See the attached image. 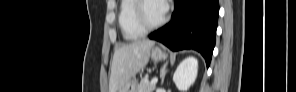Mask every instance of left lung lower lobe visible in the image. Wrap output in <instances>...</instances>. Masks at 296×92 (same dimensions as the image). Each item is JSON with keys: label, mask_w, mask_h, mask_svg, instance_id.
<instances>
[{"label": "left lung lower lobe", "mask_w": 296, "mask_h": 92, "mask_svg": "<svg viewBox=\"0 0 296 92\" xmlns=\"http://www.w3.org/2000/svg\"><path fill=\"white\" fill-rule=\"evenodd\" d=\"M172 20L149 35L173 51L194 49L210 64L219 13L218 0H174Z\"/></svg>", "instance_id": "obj_1"}]
</instances>
